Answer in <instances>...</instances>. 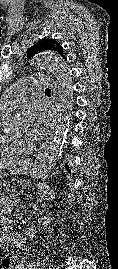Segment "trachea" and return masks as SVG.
Returning a JSON list of instances; mask_svg holds the SVG:
<instances>
[{
    "label": "trachea",
    "instance_id": "obj_1",
    "mask_svg": "<svg viewBox=\"0 0 118 269\" xmlns=\"http://www.w3.org/2000/svg\"><path fill=\"white\" fill-rule=\"evenodd\" d=\"M45 92H51V90L47 88V89H45Z\"/></svg>",
    "mask_w": 118,
    "mask_h": 269
}]
</instances>
